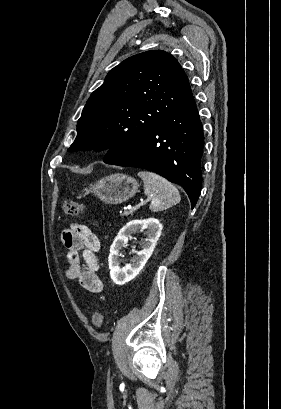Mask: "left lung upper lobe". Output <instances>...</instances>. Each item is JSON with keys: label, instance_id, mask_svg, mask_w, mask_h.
Listing matches in <instances>:
<instances>
[{"label": "left lung upper lobe", "instance_id": "1", "mask_svg": "<svg viewBox=\"0 0 281 409\" xmlns=\"http://www.w3.org/2000/svg\"><path fill=\"white\" fill-rule=\"evenodd\" d=\"M178 61L161 50L134 55L113 68L88 99L68 152L111 148L108 163L191 96Z\"/></svg>", "mask_w": 281, "mask_h": 409}]
</instances>
